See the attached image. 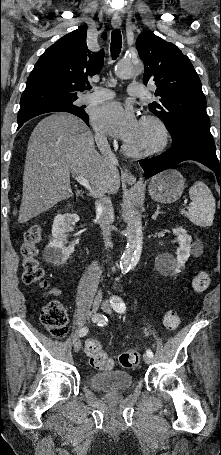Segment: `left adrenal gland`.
<instances>
[{"mask_svg": "<svg viewBox=\"0 0 221 455\" xmlns=\"http://www.w3.org/2000/svg\"><path fill=\"white\" fill-rule=\"evenodd\" d=\"M159 209H160V207H159V205H157L156 211H155V213L152 215V219H153V220H156V218L158 217L159 214H163V212H161Z\"/></svg>", "mask_w": 221, "mask_h": 455, "instance_id": "a2214340", "label": "left adrenal gland"}]
</instances>
